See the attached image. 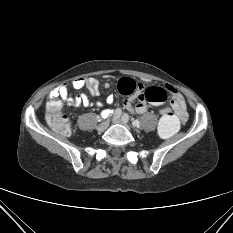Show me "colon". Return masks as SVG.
I'll use <instances>...</instances> for the list:
<instances>
[{
    "mask_svg": "<svg viewBox=\"0 0 233 233\" xmlns=\"http://www.w3.org/2000/svg\"><path fill=\"white\" fill-rule=\"evenodd\" d=\"M118 90L123 95L137 96L140 100L152 104L161 105L168 100V91L161 87L144 88L132 79H122L118 84ZM162 116L158 125V133L163 139H170L179 130L181 120L177 114L168 108L161 110ZM46 121L48 125L60 135H68L71 131L70 123L62 112L61 102L51 99L47 104Z\"/></svg>",
    "mask_w": 233,
    "mask_h": 233,
    "instance_id": "5ec220e1",
    "label": "colon"
}]
</instances>
